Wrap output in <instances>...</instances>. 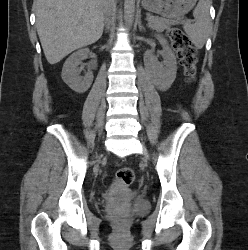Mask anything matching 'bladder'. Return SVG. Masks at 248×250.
<instances>
[{
	"instance_id": "31cf9c89",
	"label": "bladder",
	"mask_w": 248,
	"mask_h": 250,
	"mask_svg": "<svg viewBox=\"0 0 248 250\" xmlns=\"http://www.w3.org/2000/svg\"><path fill=\"white\" fill-rule=\"evenodd\" d=\"M127 209L134 213H142L148 209V203L142 196H129L127 200Z\"/></svg>"
}]
</instances>
